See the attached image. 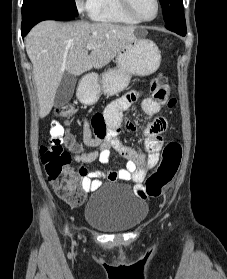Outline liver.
Segmentation results:
<instances>
[{"label": "liver", "mask_w": 227, "mask_h": 279, "mask_svg": "<svg viewBox=\"0 0 227 279\" xmlns=\"http://www.w3.org/2000/svg\"><path fill=\"white\" fill-rule=\"evenodd\" d=\"M135 26L87 21L59 23L43 21L26 38V51L33 65L39 102V116L46 117L65 72L81 75L110 63L135 39ZM95 46L88 54L86 46Z\"/></svg>", "instance_id": "6515ba94"}]
</instances>
